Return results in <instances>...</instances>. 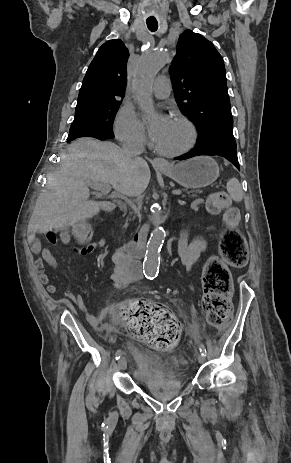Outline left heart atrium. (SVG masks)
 <instances>
[{"label": "left heart atrium", "instance_id": "left-heart-atrium-1", "mask_svg": "<svg viewBox=\"0 0 291 463\" xmlns=\"http://www.w3.org/2000/svg\"><path fill=\"white\" fill-rule=\"evenodd\" d=\"M173 118L169 115H161L155 119L149 126V134L152 142L156 145L162 136L169 129Z\"/></svg>", "mask_w": 291, "mask_h": 463}]
</instances>
